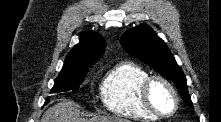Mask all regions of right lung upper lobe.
I'll return each instance as SVG.
<instances>
[{
    "label": "right lung upper lobe",
    "instance_id": "1",
    "mask_svg": "<svg viewBox=\"0 0 221 122\" xmlns=\"http://www.w3.org/2000/svg\"><path fill=\"white\" fill-rule=\"evenodd\" d=\"M105 41L95 32H82L80 41L67 54L62 72H77L88 69L102 56Z\"/></svg>",
    "mask_w": 221,
    "mask_h": 122
}]
</instances>
